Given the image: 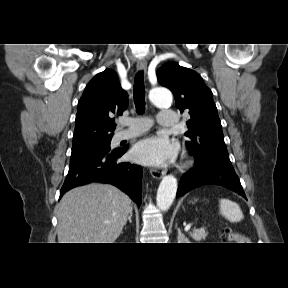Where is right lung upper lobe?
Instances as JSON below:
<instances>
[{
    "label": "right lung upper lobe",
    "instance_id": "obj_1",
    "mask_svg": "<svg viewBox=\"0 0 288 288\" xmlns=\"http://www.w3.org/2000/svg\"><path fill=\"white\" fill-rule=\"evenodd\" d=\"M128 107V95L112 69L95 75L78 102L73 148L95 145L113 136L116 124L110 115H121Z\"/></svg>",
    "mask_w": 288,
    "mask_h": 288
}]
</instances>
